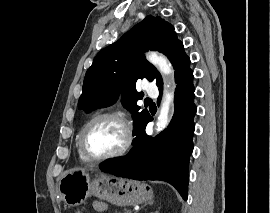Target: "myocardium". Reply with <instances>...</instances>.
I'll use <instances>...</instances> for the list:
<instances>
[{"label":"myocardium","instance_id":"myocardium-1","mask_svg":"<svg viewBox=\"0 0 270 213\" xmlns=\"http://www.w3.org/2000/svg\"><path fill=\"white\" fill-rule=\"evenodd\" d=\"M106 118L117 120L124 126V128H125V141H124L123 146L119 150H117L113 153H110L108 155H105V156L96 157V156L91 155L86 148V144H85L86 134H87V131L89 130V128L96 121L101 120V119H106ZM132 141H133V129H132L131 123L123 114L118 113V112H113V111L101 112V113L94 115L92 118H90L86 122V124L83 126V128L80 132V137H79V144H80L81 153L88 161L95 162V163H100L103 161H108V160L116 159V158L123 156L130 149Z\"/></svg>","mask_w":270,"mask_h":213}]
</instances>
